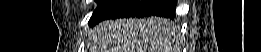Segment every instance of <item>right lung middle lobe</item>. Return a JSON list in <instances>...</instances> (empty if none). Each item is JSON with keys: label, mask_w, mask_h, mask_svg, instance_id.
<instances>
[{"label": "right lung middle lobe", "mask_w": 261, "mask_h": 52, "mask_svg": "<svg viewBox=\"0 0 261 52\" xmlns=\"http://www.w3.org/2000/svg\"><path fill=\"white\" fill-rule=\"evenodd\" d=\"M105 2H106V0H97L98 7H99L100 5H102L103 3H105Z\"/></svg>", "instance_id": "right-lung-middle-lobe-1"}]
</instances>
